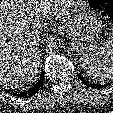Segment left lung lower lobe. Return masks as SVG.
I'll list each match as a JSON object with an SVG mask.
<instances>
[{
	"label": "left lung lower lobe",
	"instance_id": "left-lung-lower-lobe-1",
	"mask_svg": "<svg viewBox=\"0 0 113 113\" xmlns=\"http://www.w3.org/2000/svg\"><path fill=\"white\" fill-rule=\"evenodd\" d=\"M78 77L80 78V80L88 87H91V88H102V87H106L108 85H110L109 83L108 84H104V85H101L99 83H92L90 81H88L87 79H84L82 76H80L79 74H77Z\"/></svg>",
	"mask_w": 113,
	"mask_h": 113
}]
</instances>
